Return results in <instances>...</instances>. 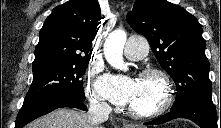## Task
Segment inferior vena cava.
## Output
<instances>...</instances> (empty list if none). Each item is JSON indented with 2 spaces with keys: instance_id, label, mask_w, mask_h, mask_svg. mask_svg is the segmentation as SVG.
Here are the masks:
<instances>
[{
  "instance_id": "1",
  "label": "inferior vena cava",
  "mask_w": 221,
  "mask_h": 128,
  "mask_svg": "<svg viewBox=\"0 0 221 128\" xmlns=\"http://www.w3.org/2000/svg\"><path fill=\"white\" fill-rule=\"evenodd\" d=\"M110 112L111 107L109 105L96 101H90V107L87 114L89 121L94 125H98L108 120Z\"/></svg>"
}]
</instances>
